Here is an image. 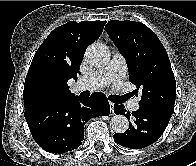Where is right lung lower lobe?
Instances as JSON below:
<instances>
[{
    "label": "right lung lower lobe",
    "instance_id": "1",
    "mask_svg": "<svg viewBox=\"0 0 196 166\" xmlns=\"http://www.w3.org/2000/svg\"><path fill=\"white\" fill-rule=\"evenodd\" d=\"M108 99L102 93L88 98L70 96L24 112L36 143L50 153L76 149L84 139V124L92 117L109 115Z\"/></svg>",
    "mask_w": 196,
    "mask_h": 166
}]
</instances>
